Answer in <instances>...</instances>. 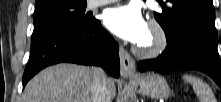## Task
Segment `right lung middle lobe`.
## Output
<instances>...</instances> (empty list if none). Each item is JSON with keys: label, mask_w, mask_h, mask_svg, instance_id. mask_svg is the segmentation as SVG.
Masks as SVG:
<instances>
[{"label": "right lung middle lobe", "mask_w": 221, "mask_h": 102, "mask_svg": "<svg viewBox=\"0 0 221 102\" xmlns=\"http://www.w3.org/2000/svg\"><path fill=\"white\" fill-rule=\"evenodd\" d=\"M86 5V0H47L35 7L31 44L56 30L91 23L94 18L85 13Z\"/></svg>", "instance_id": "1"}]
</instances>
